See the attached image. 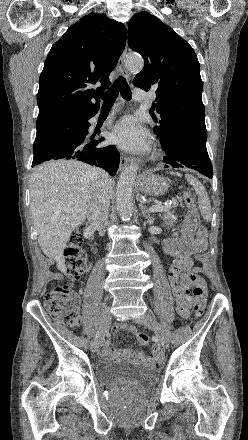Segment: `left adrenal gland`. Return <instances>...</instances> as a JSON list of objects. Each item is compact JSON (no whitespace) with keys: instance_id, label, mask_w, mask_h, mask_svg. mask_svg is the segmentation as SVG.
Segmentation results:
<instances>
[{"instance_id":"obj_1","label":"left adrenal gland","mask_w":248,"mask_h":440,"mask_svg":"<svg viewBox=\"0 0 248 440\" xmlns=\"http://www.w3.org/2000/svg\"><path fill=\"white\" fill-rule=\"evenodd\" d=\"M140 209H141V213L144 217L149 218V219L151 218L150 212L148 211L146 206H144L143 202L140 203Z\"/></svg>"}]
</instances>
